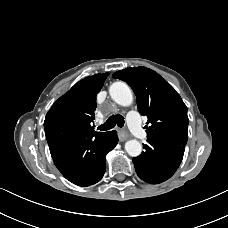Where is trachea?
<instances>
[{
	"label": "trachea",
	"mask_w": 228,
	"mask_h": 228,
	"mask_svg": "<svg viewBox=\"0 0 228 228\" xmlns=\"http://www.w3.org/2000/svg\"><path fill=\"white\" fill-rule=\"evenodd\" d=\"M125 124L124 117L120 114L110 116L107 121L100 125L97 129L100 131H106L114 128L116 125L122 128Z\"/></svg>",
	"instance_id": "trachea-1"
}]
</instances>
